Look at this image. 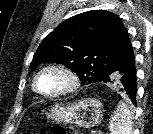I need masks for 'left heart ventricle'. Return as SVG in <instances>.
<instances>
[{
    "mask_svg": "<svg viewBox=\"0 0 153 134\" xmlns=\"http://www.w3.org/2000/svg\"><path fill=\"white\" fill-rule=\"evenodd\" d=\"M66 79L57 72H45L38 79V88L44 93H54L66 86Z\"/></svg>",
    "mask_w": 153,
    "mask_h": 134,
    "instance_id": "left-heart-ventricle-1",
    "label": "left heart ventricle"
}]
</instances>
